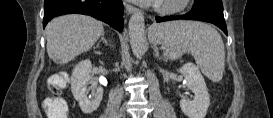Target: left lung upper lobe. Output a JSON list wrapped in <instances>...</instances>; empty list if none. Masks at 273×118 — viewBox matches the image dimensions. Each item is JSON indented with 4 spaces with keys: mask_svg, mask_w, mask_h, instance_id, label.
<instances>
[{
    "mask_svg": "<svg viewBox=\"0 0 273 118\" xmlns=\"http://www.w3.org/2000/svg\"><path fill=\"white\" fill-rule=\"evenodd\" d=\"M192 9L204 10L223 15L222 0H195Z\"/></svg>",
    "mask_w": 273,
    "mask_h": 118,
    "instance_id": "1",
    "label": "left lung upper lobe"
}]
</instances>
